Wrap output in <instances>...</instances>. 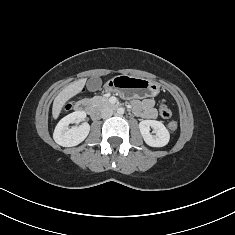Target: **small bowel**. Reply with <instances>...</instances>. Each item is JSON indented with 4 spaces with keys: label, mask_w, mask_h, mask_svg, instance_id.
<instances>
[{
    "label": "small bowel",
    "mask_w": 235,
    "mask_h": 235,
    "mask_svg": "<svg viewBox=\"0 0 235 235\" xmlns=\"http://www.w3.org/2000/svg\"><path fill=\"white\" fill-rule=\"evenodd\" d=\"M133 109L136 114L144 119H155L157 116L152 99L134 100L132 102Z\"/></svg>",
    "instance_id": "c3829d8e"
}]
</instances>
